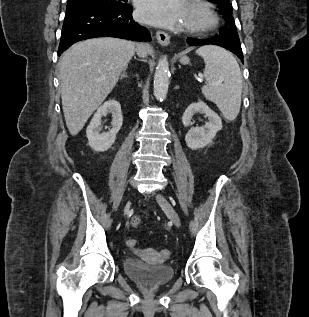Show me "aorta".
I'll return each instance as SVG.
<instances>
[{
	"label": "aorta",
	"instance_id": "762f6f07",
	"mask_svg": "<svg viewBox=\"0 0 309 317\" xmlns=\"http://www.w3.org/2000/svg\"><path fill=\"white\" fill-rule=\"evenodd\" d=\"M169 77L168 59L166 56H163L157 64L154 75V95L159 101H163L167 96Z\"/></svg>",
	"mask_w": 309,
	"mask_h": 317
}]
</instances>
